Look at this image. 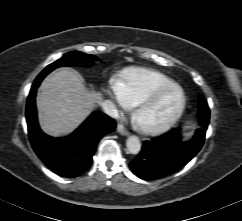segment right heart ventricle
Wrapping results in <instances>:
<instances>
[{
  "label": "right heart ventricle",
  "instance_id": "right-heart-ventricle-1",
  "mask_svg": "<svg viewBox=\"0 0 242 221\" xmlns=\"http://www.w3.org/2000/svg\"><path fill=\"white\" fill-rule=\"evenodd\" d=\"M174 84L168 76L147 69H131L115 82L117 90L130 106H136L157 90Z\"/></svg>",
  "mask_w": 242,
  "mask_h": 221
}]
</instances>
